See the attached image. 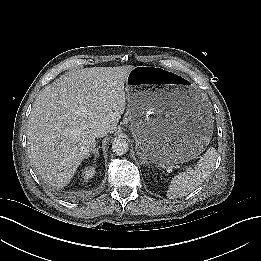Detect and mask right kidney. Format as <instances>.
<instances>
[{
    "label": "right kidney",
    "instance_id": "ca27d5eb",
    "mask_svg": "<svg viewBox=\"0 0 261 261\" xmlns=\"http://www.w3.org/2000/svg\"><path fill=\"white\" fill-rule=\"evenodd\" d=\"M95 172H96V171H95V167H92V166L87 167V168L84 169V171H83V173H82V178H83L84 180H88V179H90L92 176H94Z\"/></svg>",
    "mask_w": 261,
    "mask_h": 261
}]
</instances>
